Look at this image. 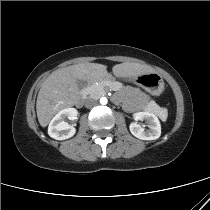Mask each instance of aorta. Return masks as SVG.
<instances>
[{
	"label": "aorta",
	"mask_w": 210,
	"mask_h": 210,
	"mask_svg": "<svg viewBox=\"0 0 210 210\" xmlns=\"http://www.w3.org/2000/svg\"><path fill=\"white\" fill-rule=\"evenodd\" d=\"M100 102H101V104H107V99L106 98H101Z\"/></svg>",
	"instance_id": "1"
}]
</instances>
